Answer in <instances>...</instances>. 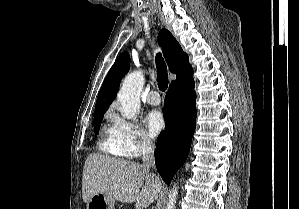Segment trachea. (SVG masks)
<instances>
[{"label":"trachea","mask_w":299,"mask_h":209,"mask_svg":"<svg viewBox=\"0 0 299 209\" xmlns=\"http://www.w3.org/2000/svg\"><path fill=\"white\" fill-rule=\"evenodd\" d=\"M156 66H157V81L158 87L161 91H165L168 87V74L167 67L160 53L156 56Z\"/></svg>","instance_id":"trachea-1"}]
</instances>
